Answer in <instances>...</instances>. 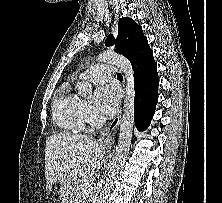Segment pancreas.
Here are the masks:
<instances>
[{
  "label": "pancreas",
  "mask_w": 222,
  "mask_h": 203,
  "mask_svg": "<svg viewBox=\"0 0 222 203\" xmlns=\"http://www.w3.org/2000/svg\"><path fill=\"white\" fill-rule=\"evenodd\" d=\"M85 181H81L79 183L76 184L75 188H74V191H73V197L72 198H75L76 199H81L82 198V195L83 193H85V202H82V203H87V201H91L94 197V191H91V192H85L84 191V185Z\"/></svg>",
  "instance_id": "pancreas-1"
}]
</instances>
